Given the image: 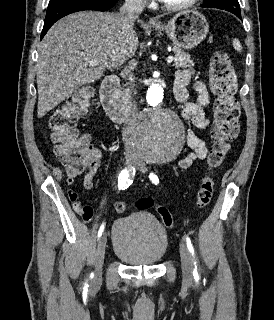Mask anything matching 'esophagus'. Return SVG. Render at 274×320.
<instances>
[{"mask_svg":"<svg viewBox=\"0 0 274 320\" xmlns=\"http://www.w3.org/2000/svg\"><path fill=\"white\" fill-rule=\"evenodd\" d=\"M155 21L153 19L149 20L148 23L152 25Z\"/></svg>","mask_w":274,"mask_h":320,"instance_id":"obj_1","label":"esophagus"}]
</instances>
